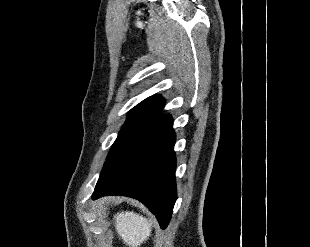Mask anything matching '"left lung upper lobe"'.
<instances>
[{"label": "left lung upper lobe", "mask_w": 310, "mask_h": 247, "mask_svg": "<svg viewBox=\"0 0 310 247\" xmlns=\"http://www.w3.org/2000/svg\"><path fill=\"white\" fill-rule=\"evenodd\" d=\"M164 105L165 102L159 95H153L140 102L130 111L125 124L110 149L102 173L128 143L162 117Z\"/></svg>", "instance_id": "left-lung-upper-lobe-1"}]
</instances>
